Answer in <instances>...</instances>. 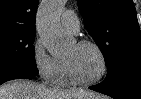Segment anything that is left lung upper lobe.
<instances>
[{
  "mask_svg": "<svg viewBox=\"0 0 141 99\" xmlns=\"http://www.w3.org/2000/svg\"><path fill=\"white\" fill-rule=\"evenodd\" d=\"M89 34L103 53L107 78L141 68V32L132 0H78Z\"/></svg>",
  "mask_w": 141,
  "mask_h": 99,
  "instance_id": "left-lung-upper-lobe-1",
  "label": "left lung upper lobe"
}]
</instances>
